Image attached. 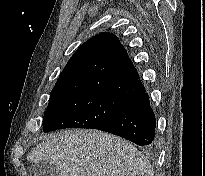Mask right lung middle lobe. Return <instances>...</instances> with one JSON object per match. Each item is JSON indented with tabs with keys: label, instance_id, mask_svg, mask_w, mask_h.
<instances>
[{
	"label": "right lung middle lobe",
	"instance_id": "dd1d6c3e",
	"mask_svg": "<svg viewBox=\"0 0 205 176\" xmlns=\"http://www.w3.org/2000/svg\"><path fill=\"white\" fill-rule=\"evenodd\" d=\"M127 101L126 98L98 91L51 96L43 118V131L98 129L109 122Z\"/></svg>",
	"mask_w": 205,
	"mask_h": 176
}]
</instances>
